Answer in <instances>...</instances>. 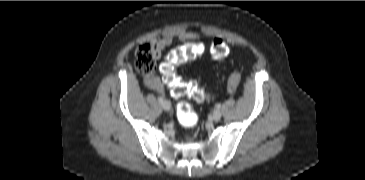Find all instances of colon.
<instances>
[{
    "instance_id": "5ec220e1",
    "label": "colon",
    "mask_w": 365,
    "mask_h": 180,
    "mask_svg": "<svg viewBox=\"0 0 365 180\" xmlns=\"http://www.w3.org/2000/svg\"><path fill=\"white\" fill-rule=\"evenodd\" d=\"M204 45L201 41L195 40L183 44L172 50L162 65V74L165 83L170 87L172 93L179 98L191 97L202 102L210 97L199 87L195 80L182 81L175 72V67L184 62L194 60L202 55ZM228 48L223 39L217 38L211 45V54L215 59H222L226 56ZM136 69L143 75H150L156 69L155 51L149 44H141L134 51ZM240 80V75L234 73L228 82V88L235 90ZM179 122L189 128L198 124V116L192 110L191 105L185 99H181L177 106Z\"/></svg>"
}]
</instances>
